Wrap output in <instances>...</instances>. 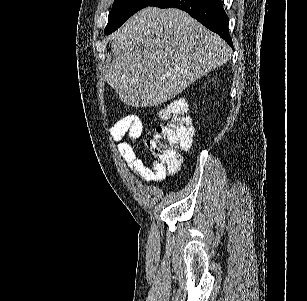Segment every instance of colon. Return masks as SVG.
<instances>
[{
    "instance_id": "colon-1",
    "label": "colon",
    "mask_w": 307,
    "mask_h": 301,
    "mask_svg": "<svg viewBox=\"0 0 307 301\" xmlns=\"http://www.w3.org/2000/svg\"><path fill=\"white\" fill-rule=\"evenodd\" d=\"M163 123L158 125L146 141L152 155L159 160L167 173L180 168V150L193 144L194 128L188 115V106L183 99H174L160 110Z\"/></svg>"
}]
</instances>
